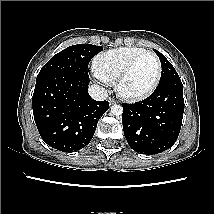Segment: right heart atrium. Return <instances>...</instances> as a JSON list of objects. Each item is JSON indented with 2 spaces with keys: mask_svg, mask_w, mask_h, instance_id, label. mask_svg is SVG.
<instances>
[{
  "mask_svg": "<svg viewBox=\"0 0 214 214\" xmlns=\"http://www.w3.org/2000/svg\"><path fill=\"white\" fill-rule=\"evenodd\" d=\"M94 76H95V78H96L98 81H100V82H102V83H104V84H109L106 80H104L102 77H100V76L97 75L96 73H94Z\"/></svg>",
  "mask_w": 214,
  "mask_h": 214,
  "instance_id": "right-heart-atrium-1",
  "label": "right heart atrium"
}]
</instances>
